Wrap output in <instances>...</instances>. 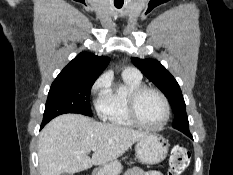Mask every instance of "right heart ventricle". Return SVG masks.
<instances>
[{
  "label": "right heart ventricle",
  "mask_w": 233,
  "mask_h": 175,
  "mask_svg": "<svg viewBox=\"0 0 233 175\" xmlns=\"http://www.w3.org/2000/svg\"><path fill=\"white\" fill-rule=\"evenodd\" d=\"M121 85L112 87L108 83L105 91L96 103L98 116L105 122L118 128H133L136 125L127 110L128 96L132 90L143 85L141 77L123 73Z\"/></svg>",
  "instance_id": "right-heart-ventricle-1"
}]
</instances>
